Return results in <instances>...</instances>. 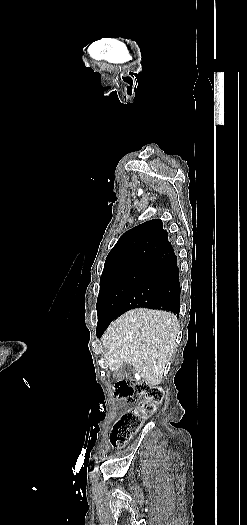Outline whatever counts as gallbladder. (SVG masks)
Segmentation results:
<instances>
[{
	"mask_svg": "<svg viewBox=\"0 0 247 525\" xmlns=\"http://www.w3.org/2000/svg\"><path fill=\"white\" fill-rule=\"evenodd\" d=\"M133 365L131 363H123L118 375H121V377H125V379H130V377H134L135 371H133Z\"/></svg>",
	"mask_w": 247,
	"mask_h": 525,
	"instance_id": "1",
	"label": "gallbladder"
}]
</instances>
